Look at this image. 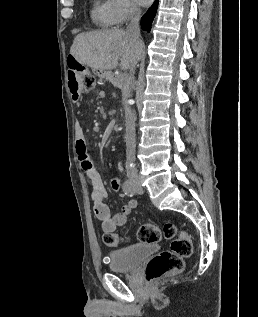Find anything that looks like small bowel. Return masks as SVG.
Masks as SVG:
<instances>
[{"label":"small bowel","mask_w":258,"mask_h":317,"mask_svg":"<svg viewBox=\"0 0 258 317\" xmlns=\"http://www.w3.org/2000/svg\"><path fill=\"white\" fill-rule=\"evenodd\" d=\"M74 138L78 161L91 188L94 213L101 223L102 230L105 233H113L118 227L126 223L128 216L136 208L137 202L135 200H129L122 206L118 213H113L109 203L108 192L104 186L101 175L94 167L87 152L85 132L79 122H76L74 126ZM110 186L114 191L120 190V178H112Z\"/></svg>","instance_id":"small-bowel-1"}]
</instances>
